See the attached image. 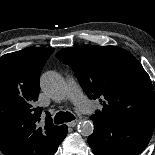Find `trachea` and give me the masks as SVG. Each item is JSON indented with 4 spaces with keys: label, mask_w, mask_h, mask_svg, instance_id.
<instances>
[{
    "label": "trachea",
    "mask_w": 155,
    "mask_h": 155,
    "mask_svg": "<svg viewBox=\"0 0 155 155\" xmlns=\"http://www.w3.org/2000/svg\"><path fill=\"white\" fill-rule=\"evenodd\" d=\"M74 119V115L70 112H58L54 118V122L55 124H62L64 122H70Z\"/></svg>",
    "instance_id": "trachea-1"
}]
</instances>
